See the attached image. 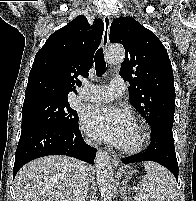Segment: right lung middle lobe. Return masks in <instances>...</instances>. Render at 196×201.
I'll use <instances>...</instances> for the list:
<instances>
[{
  "mask_svg": "<svg viewBox=\"0 0 196 201\" xmlns=\"http://www.w3.org/2000/svg\"><path fill=\"white\" fill-rule=\"evenodd\" d=\"M44 125L71 130L78 125L77 112L73 110L67 98L37 96L24 100L22 108V126Z\"/></svg>",
  "mask_w": 196,
  "mask_h": 201,
  "instance_id": "obj_1",
  "label": "right lung middle lobe"
}]
</instances>
